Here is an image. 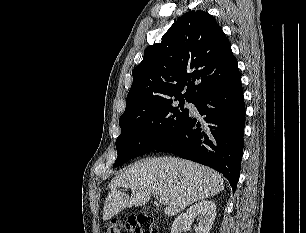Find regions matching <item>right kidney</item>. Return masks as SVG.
<instances>
[{"label":"right kidney","mask_w":306,"mask_h":233,"mask_svg":"<svg viewBox=\"0 0 306 233\" xmlns=\"http://www.w3.org/2000/svg\"><path fill=\"white\" fill-rule=\"evenodd\" d=\"M216 216V205L209 200H201L190 206L185 213L180 214L173 222L171 233H182L191 228L192 222L197 217L198 225L195 233H209Z\"/></svg>","instance_id":"ca27d5eb"}]
</instances>
